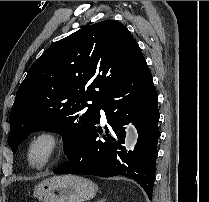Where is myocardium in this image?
I'll return each instance as SVG.
<instances>
[{"label": "myocardium", "mask_w": 209, "mask_h": 202, "mask_svg": "<svg viewBox=\"0 0 209 202\" xmlns=\"http://www.w3.org/2000/svg\"><path fill=\"white\" fill-rule=\"evenodd\" d=\"M38 145L44 146V157L40 162H36L33 157V151ZM63 140L60 133L53 128H42L36 131L27 143V160L35 169L47 167L61 153Z\"/></svg>", "instance_id": "myocardium-1"}]
</instances>
